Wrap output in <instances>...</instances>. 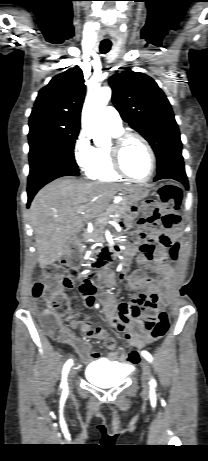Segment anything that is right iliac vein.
I'll list each match as a JSON object with an SVG mask.
<instances>
[{
	"label": "right iliac vein",
	"instance_id": "1",
	"mask_svg": "<svg viewBox=\"0 0 208 461\" xmlns=\"http://www.w3.org/2000/svg\"><path fill=\"white\" fill-rule=\"evenodd\" d=\"M72 373H73V370H70L69 373H68V382L70 383L71 381V376H72Z\"/></svg>",
	"mask_w": 208,
	"mask_h": 461
}]
</instances>
